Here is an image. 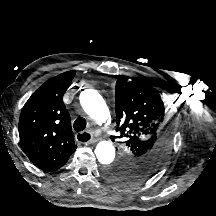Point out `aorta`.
<instances>
[{
    "instance_id": "1",
    "label": "aorta",
    "mask_w": 216,
    "mask_h": 216,
    "mask_svg": "<svg viewBox=\"0 0 216 216\" xmlns=\"http://www.w3.org/2000/svg\"><path fill=\"white\" fill-rule=\"evenodd\" d=\"M80 104L84 111L98 124H103L109 117L108 107L102 96L93 89H86L80 94ZM95 154L103 165H109L115 158V148L109 141L97 144Z\"/></svg>"
}]
</instances>
